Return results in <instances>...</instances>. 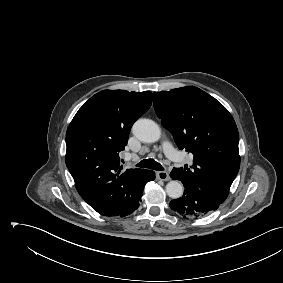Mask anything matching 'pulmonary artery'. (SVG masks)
<instances>
[{"mask_svg": "<svg viewBox=\"0 0 283 283\" xmlns=\"http://www.w3.org/2000/svg\"><path fill=\"white\" fill-rule=\"evenodd\" d=\"M162 148L163 152L170 160L179 161L181 159L179 153L175 150L170 142L165 141L162 145Z\"/></svg>", "mask_w": 283, "mask_h": 283, "instance_id": "obj_1", "label": "pulmonary artery"}]
</instances>
